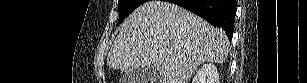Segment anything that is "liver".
<instances>
[{"instance_id": "6515ba94", "label": "liver", "mask_w": 307, "mask_h": 83, "mask_svg": "<svg viewBox=\"0 0 307 83\" xmlns=\"http://www.w3.org/2000/svg\"><path fill=\"white\" fill-rule=\"evenodd\" d=\"M229 52L225 32L184 8L153 0L123 22L107 64L125 73L148 66L158 83H187L203 62L223 63Z\"/></svg>"}]
</instances>
